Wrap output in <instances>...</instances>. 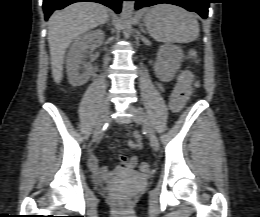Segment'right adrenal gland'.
<instances>
[{
	"label": "right adrenal gland",
	"mask_w": 260,
	"mask_h": 217,
	"mask_svg": "<svg viewBox=\"0 0 260 217\" xmlns=\"http://www.w3.org/2000/svg\"><path fill=\"white\" fill-rule=\"evenodd\" d=\"M109 20H110V19H109V17H108L107 20H106V22L103 23L102 26H103L104 24H108V25H109Z\"/></svg>",
	"instance_id": "right-adrenal-gland-1"
}]
</instances>
